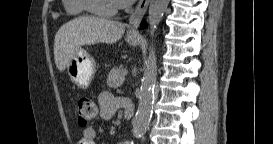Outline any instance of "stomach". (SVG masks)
<instances>
[{
	"label": "stomach",
	"mask_w": 273,
	"mask_h": 144,
	"mask_svg": "<svg viewBox=\"0 0 273 144\" xmlns=\"http://www.w3.org/2000/svg\"><path fill=\"white\" fill-rule=\"evenodd\" d=\"M127 42L131 46H136L139 38L127 37ZM67 72L73 83L82 89H87L96 73L95 60L86 50L80 48L70 60Z\"/></svg>",
	"instance_id": "1"
}]
</instances>
